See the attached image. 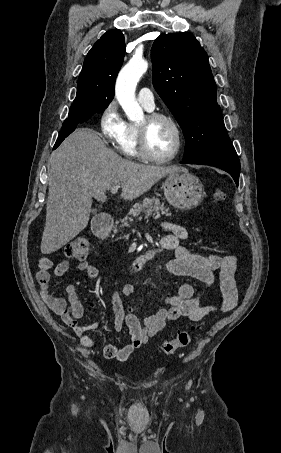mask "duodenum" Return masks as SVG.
I'll list each match as a JSON object with an SVG mask.
<instances>
[{
  "instance_id": "duodenum-1",
  "label": "duodenum",
  "mask_w": 281,
  "mask_h": 453,
  "mask_svg": "<svg viewBox=\"0 0 281 453\" xmlns=\"http://www.w3.org/2000/svg\"><path fill=\"white\" fill-rule=\"evenodd\" d=\"M111 226L112 220L110 218L100 217L94 222V234L98 237H105L109 233ZM164 249H167V245L162 239L155 247L149 249L134 260L132 263V270L136 271L140 269L148 260L152 259L157 253Z\"/></svg>"
}]
</instances>
